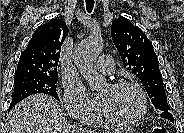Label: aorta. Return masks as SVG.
<instances>
[{
	"mask_svg": "<svg viewBox=\"0 0 184 133\" xmlns=\"http://www.w3.org/2000/svg\"><path fill=\"white\" fill-rule=\"evenodd\" d=\"M102 47V37L91 35L79 42L74 48V62L92 90L101 88L105 83V78L98 74L95 68Z\"/></svg>",
	"mask_w": 184,
	"mask_h": 133,
	"instance_id": "1",
	"label": "aorta"
}]
</instances>
